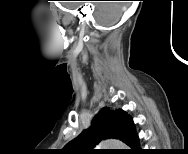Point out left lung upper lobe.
I'll use <instances>...</instances> for the list:
<instances>
[{"label":"left lung upper lobe","instance_id":"5c2ea615","mask_svg":"<svg viewBox=\"0 0 188 154\" xmlns=\"http://www.w3.org/2000/svg\"><path fill=\"white\" fill-rule=\"evenodd\" d=\"M132 118L122 109L103 108L91 122V127L66 144L63 150L68 154H92L102 139H125L128 124Z\"/></svg>","mask_w":188,"mask_h":154}]
</instances>
